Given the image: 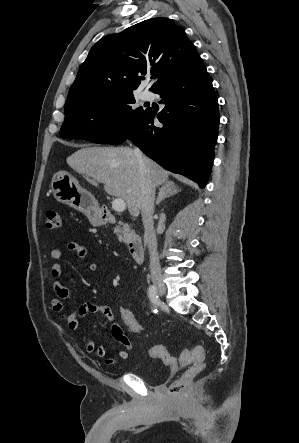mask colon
I'll return each instance as SVG.
<instances>
[{"mask_svg": "<svg viewBox=\"0 0 299 443\" xmlns=\"http://www.w3.org/2000/svg\"><path fill=\"white\" fill-rule=\"evenodd\" d=\"M62 219L56 210H49L46 213V226L50 229L60 228ZM120 320L124 327L131 333L142 336L146 332V327L135 313L128 307L120 309ZM149 354L153 358L160 359L164 364L176 369L179 365L190 366L189 369L169 387L172 396L181 395L193 377L199 374L205 367V353L201 346L191 349L181 350L178 359L172 356L163 345H153L149 349Z\"/></svg>", "mask_w": 299, "mask_h": 443, "instance_id": "1", "label": "colon"}]
</instances>
